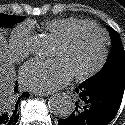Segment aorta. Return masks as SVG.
I'll use <instances>...</instances> for the list:
<instances>
[{"mask_svg":"<svg viewBox=\"0 0 125 125\" xmlns=\"http://www.w3.org/2000/svg\"><path fill=\"white\" fill-rule=\"evenodd\" d=\"M35 54L40 58H48L53 52V42L47 36H38L34 43ZM50 110L60 117H68L74 111L75 103L66 93H57L49 99Z\"/></svg>","mask_w":125,"mask_h":125,"instance_id":"1","label":"aorta"}]
</instances>
